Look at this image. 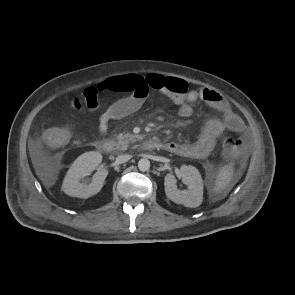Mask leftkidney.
<instances>
[{
	"label": "left kidney",
	"instance_id": "obj_1",
	"mask_svg": "<svg viewBox=\"0 0 295 295\" xmlns=\"http://www.w3.org/2000/svg\"><path fill=\"white\" fill-rule=\"evenodd\" d=\"M180 176L183 183L188 186V190H178L175 177L169 173L164 181L166 196L171 201L186 207L200 206L203 200V180L199 171L193 166L183 165L180 168Z\"/></svg>",
	"mask_w": 295,
	"mask_h": 295
}]
</instances>
